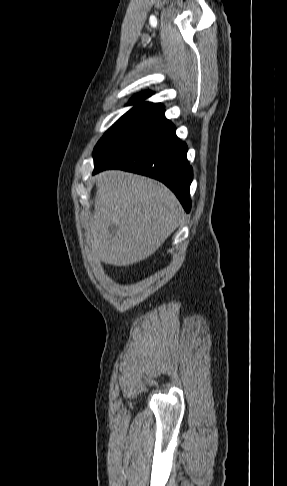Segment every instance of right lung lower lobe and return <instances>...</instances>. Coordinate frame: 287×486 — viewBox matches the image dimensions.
<instances>
[{
    "label": "right lung lower lobe",
    "mask_w": 287,
    "mask_h": 486,
    "mask_svg": "<svg viewBox=\"0 0 287 486\" xmlns=\"http://www.w3.org/2000/svg\"><path fill=\"white\" fill-rule=\"evenodd\" d=\"M187 146L175 134V127L165 120L125 147L94 163V174L118 168L155 178L167 185L186 212L190 211L189 194L193 179L187 161Z\"/></svg>",
    "instance_id": "98d812e1"
}]
</instances>
